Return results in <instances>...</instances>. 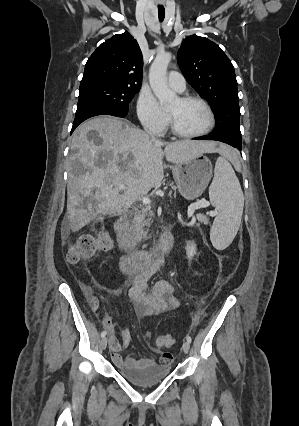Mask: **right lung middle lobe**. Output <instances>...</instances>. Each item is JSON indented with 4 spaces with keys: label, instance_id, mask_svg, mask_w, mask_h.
I'll return each instance as SVG.
<instances>
[{
    "label": "right lung middle lobe",
    "instance_id": "obj_1",
    "mask_svg": "<svg viewBox=\"0 0 299 426\" xmlns=\"http://www.w3.org/2000/svg\"><path fill=\"white\" fill-rule=\"evenodd\" d=\"M140 87H129L112 83H90L80 85L78 105L97 103L110 106L127 114L129 103Z\"/></svg>",
    "mask_w": 299,
    "mask_h": 426
}]
</instances>
